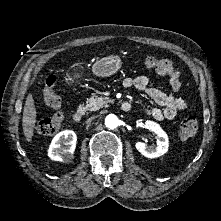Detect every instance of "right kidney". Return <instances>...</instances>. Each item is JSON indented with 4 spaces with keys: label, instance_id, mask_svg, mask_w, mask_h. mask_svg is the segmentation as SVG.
I'll return each mask as SVG.
<instances>
[{
    "label": "right kidney",
    "instance_id": "1",
    "mask_svg": "<svg viewBox=\"0 0 221 221\" xmlns=\"http://www.w3.org/2000/svg\"><path fill=\"white\" fill-rule=\"evenodd\" d=\"M76 142L77 136L74 131H61L52 139L48 149V156L55 161L70 162L73 158Z\"/></svg>",
    "mask_w": 221,
    "mask_h": 221
}]
</instances>
